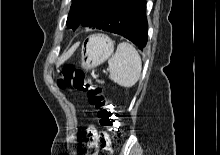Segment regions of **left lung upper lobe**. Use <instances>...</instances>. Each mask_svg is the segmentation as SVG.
<instances>
[{
    "label": "left lung upper lobe",
    "instance_id": "1",
    "mask_svg": "<svg viewBox=\"0 0 220 155\" xmlns=\"http://www.w3.org/2000/svg\"><path fill=\"white\" fill-rule=\"evenodd\" d=\"M97 0H73L67 18V27L75 30L86 12Z\"/></svg>",
    "mask_w": 220,
    "mask_h": 155
}]
</instances>
